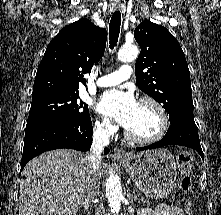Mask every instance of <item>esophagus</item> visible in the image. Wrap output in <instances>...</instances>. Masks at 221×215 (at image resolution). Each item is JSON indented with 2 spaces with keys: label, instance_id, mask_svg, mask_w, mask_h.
Segmentation results:
<instances>
[{
  "label": "esophagus",
  "instance_id": "1",
  "mask_svg": "<svg viewBox=\"0 0 221 215\" xmlns=\"http://www.w3.org/2000/svg\"><path fill=\"white\" fill-rule=\"evenodd\" d=\"M120 6L119 5H115L114 6V10H119ZM113 156L115 157H126L127 154L123 151V149L119 148V147H115L113 150Z\"/></svg>",
  "mask_w": 221,
  "mask_h": 215
}]
</instances>
